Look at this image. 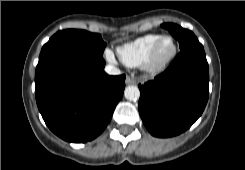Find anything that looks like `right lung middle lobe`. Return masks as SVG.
<instances>
[{
  "mask_svg": "<svg viewBox=\"0 0 245 170\" xmlns=\"http://www.w3.org/2000/svg\"><path fill=\"white\" fill-rule=\"evenodd\" d=\"M105 47L106 44L100 34L75 29L59 31L43 46L36 72L64 54H88L102 57Z\"/></svg>",
  "mask_w": 245,
  "mask_h": 170,
  "instance_id": "obj_1",
  "label": "right lung middle lobe"
}]
</instances>
